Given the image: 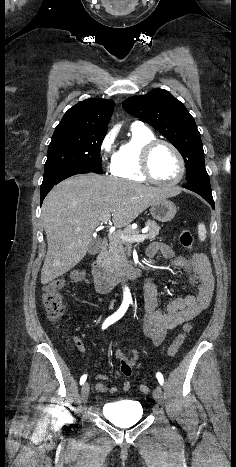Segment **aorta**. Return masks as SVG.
Returning <instances> with one entry per match:
<instances>
[{"label": "aorta", "mask_w": 236, "mask_h": 467, "mask_svg": "<svg viewBox=\"0 0 236 467\" xmlns=\"http://www.w3.org/2000/svg\"><path fill=\"white\" fill-rule=\"evenodd\" d=\"M123 297H124V300H126V301L130 302L132 300L131 293H130V290H129L128 287L124 288Z\"/></svg>", "instance_id": "762f6f07"}]
</instances>
